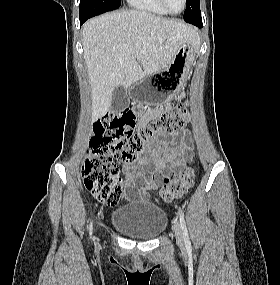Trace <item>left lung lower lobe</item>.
I'll list each match as a JSON object with an SVG mask.
<instances>
[{
  "mask_svg": "<svg viewBox=\"0 0 280 285\" xmlns=\"http://www.w3.org/2000/svg\"><path fill=\"white\" fill-rule=\"evenodd\" d=\"M194 25H196L199 28H202L203 24L202 21L201 22H197V23H193Z\"/></svg>",
  "mask_w": 280,
  "mask_h": 285,
  "instance_id": "1",
  "label": "left lung lower lobe"
}]
</instances>
